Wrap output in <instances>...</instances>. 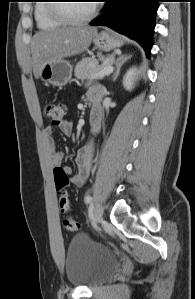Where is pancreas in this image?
<instances>
[{"mask_svg": "<svg viewBox=\"0 0 195 299\" xmlns=\"http://www.w3.org/2000/svg\"><path fill=\"white\" fill-rule=\"evenodd\" d=\"M102 65H98V60L94 57H86L79 61L75 67L74 74L77 79H102V77H95V75L102 70L104 67L111 66L114 61V56H109L107 58L103 57Z\"/></svg>", "mask_w": 195, "mask_h": 299, "instance_id": "1", "label": "pancreas"}]
</instances>
